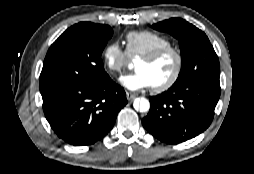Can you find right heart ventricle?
Returning a JSON list of instances; mask_svg holds the SVG:
<instances>
[{"instance_id":"e07e8e85","label":"right heart ventricle","mask_w":254,"mask_h":174,"mask_svg":"<svg viewBox=\"0 0 254 174\" xmlns=\"http://www.w3.org/2000/svg\"><path fill=\"white\" fill-rule=\"evenodd\" d=\"M127 53L130 57H142L153 50L171 45V40L151 30L132 31L126 35Z\"/></svg>"}]
</instances>
